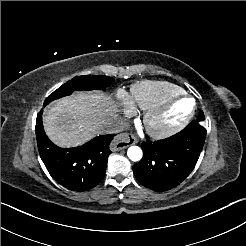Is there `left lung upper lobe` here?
<instances>
[{
  "instance_id": "1",
  "label": "left lung upper lobe",
  "mask_w": 246,
  "mask_h": 246,
  "mask_svg": "<svg viewBox=\"0 0 246 246\" xmlns=\"http://www.w3.org/2000/svg\"><path fill=\"white\" fill-rule=\"evenodd\" d=\"M204 119H205L204 114H203V112L201 111V112L199 113V115H198V118L196 119V122L203 125Z\"/></svg>"
}]
</instances>
